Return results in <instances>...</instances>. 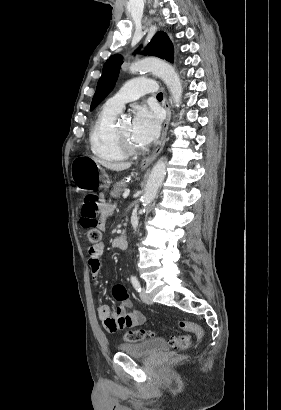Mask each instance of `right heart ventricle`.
<instances>
[{
  "mask_svg": "<svg viewBox=\"0 0 281 410\" xmlns=\"http://www.w3.org/2000/svg\"><path fill=\"white\" fill-rule=\"evenodd\" d=\"M119 112L105 105L98 112L89 132L92 154L105 162L125 159L126 153L115 137V120Z\"/></svg>",
  "mask_w": 281,
  "mask_h": 410,
  "instance_id": "e07e8e85",
  "label": "right heart ventricle"
}]
</instances>
